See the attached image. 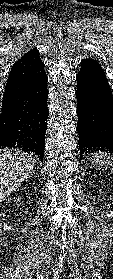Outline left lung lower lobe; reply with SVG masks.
Segmentation results:
<instances>
[{"label": "left lung lower lobe", "instance_id": "left-lung-lower-lobe-1", "mask_svg": "<svg viewBox=\"0 0 113 279\" xmlns=\"http://www.w3.org/2000/svg\"><path fill=\"white\" fill-rule=\"evenodd\" d=\"M76 80L80 158L113 152V96L104 70L97 61L83 59Z\"/></svg>", "mask_w": 113, "mask_h": 279}]
</instances>
